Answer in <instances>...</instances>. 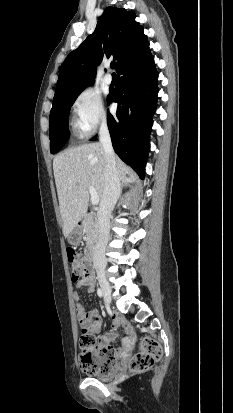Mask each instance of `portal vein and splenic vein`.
Segmentation results:
<instances>
[{"label": "portal vein and splenic vein", "mask_w": 233, "mask_h": 413, "mask_svg": "<svg viewBox=\"0 0 233 413\" xmlns=\"http://www.w3.org/2000/svg\"><path fill=\"white\" fill-rule=\"evenodd\" d=\"M89 193L91 195L92 205H97L99 203L100 198H99V196H98V194H97V192H96V190L93 186L89 187Z\"/></svg>", "instance_id": "1"}]
</instances>
